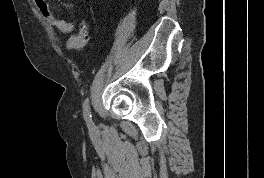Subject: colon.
Instances as JSON below:
<instances>
[{
	"instance_id": "obj_1",
	"label": "colon",
	"mask_w": 264,
	"mask_h": 178,
	"mask_svg": "<svg viewBox=\"0 0 264 178\" xmlns=\"http://www.w3.org/2000/svg\"><path fill=\"white\" fill-rule=\"evenodd\" d=\"M89 43V24L87 20H83L80 24L79 31L76 35L68 40V47L77 50H84Z\"/></svg>"
}]
</instances>
